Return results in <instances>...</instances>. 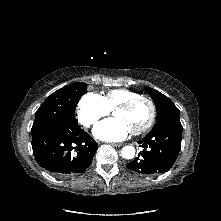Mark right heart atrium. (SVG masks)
<instances>
[{
	"instance_id": "1",
	"label": "right heart atrium",
	"mask_w": 221,
	"mask_h": 221,
	"mask_svg": "<svg viewBox=\"0 0 221 221\" xmlns=\"http://www.w3.org/2000/svg\"><path fill=\"white\" fill-rule=\"evenodd\" d=\"M110 113L109 108L105 104L102 96L88 92L79 100L77 107V119L79 123L86 127H93L99 119Z\"/></svg>"
}]
</instances>
